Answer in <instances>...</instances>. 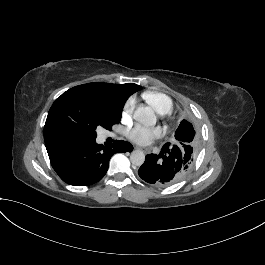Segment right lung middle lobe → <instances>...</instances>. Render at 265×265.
<instances>
[{
    "label": "right lung middle lobe",
    "instance_id": "1",
    "mask_svg": "<svg viewBox=\"0 0 265 265\" xmlns=\"http://www.w3.org/2000/svg\"><path fill=\"white\" fill-rule=\"evenodd\" d=\"M129 95L117 88L84 84L63 93L49 110L44 133L65 144L96 139V128L111 129L121 120Z\"/></svg>",
    "mask_w": 265,
    "mask_h": 265
}]
</instances>
